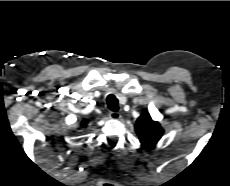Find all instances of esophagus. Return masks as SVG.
Returning a JSON list of instances; mask_svg holds the SVG:
<instances>
[{"instance_id": "1", "label": "esophagus", "mask_w": 230, "mask_h": 186, "mask_svg": "<svg viewBox=\"0 0 230 186\" xmlns=\"http://www.w3.org/2000/svg\"><path fill=\"white\" fill-rule=\"evenodd\" d=\"M109 117L111 119L118 120V119L121 118V114L119 112L112 111V112L109 113Z\"/></svg>"}]
</instances>
